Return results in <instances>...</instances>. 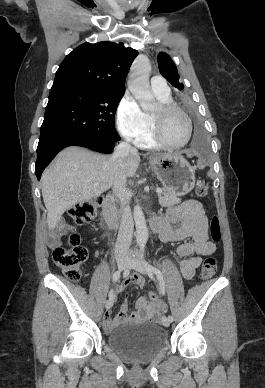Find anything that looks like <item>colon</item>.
<instances>
[{"instance_id": "colon-1", "label": "colon", "mask_w": 265, "mask_h": 388, "mask_svg": "<svg viewBox=\"0 0 265 388\" xmlns=\"http://www.w3.org/2000/svg\"><path fill=\"white\" fill-rule=\"evenodd\" d=\"M207 192L208 185L206 183H199L197 185L196 194L198 196L203 197ZM100 205V198L81 201L69 209V216L78 225L88 223L96 216ZM210 234L214 242L221 240V226L217 216L211 218ZM69 244V248H55L53 251V260L68 279L77 281L81 278L83 264L88 253L86 248L80 245V236L76 233L70 235ZM216 269L217 259L214 256H208L202 263L200 277L204 280L210 279L215 274ZM146 296L151 303L159 305L163 312L166 311V305L155 292L149 291Z\"/></svg>"}]
</instances>
